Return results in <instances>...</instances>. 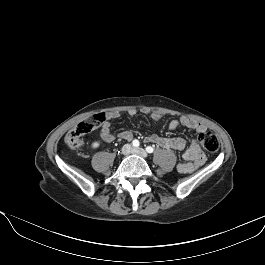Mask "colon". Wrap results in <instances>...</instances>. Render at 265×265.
<instances>
[{"label": "colon", "instance_id": "colon-1", "mask_svg": "<svg viewBox=\"0 0 265 265\" xmlns=\"http://www.w3.org/2000/svg\"><path fill=\"white\" fill-rule=\"evenodd\" d=\"M105 119V115L98 113L89 119L79 123L65 136V143L71 148H78L83 143V137L95 129ZM199 142L209 152H215L219 148L217 135L212 131H204L199 135Z\"/></svg>", "mask_w": 265, "mask_h": 265}]
</instances>
